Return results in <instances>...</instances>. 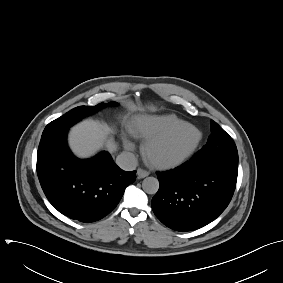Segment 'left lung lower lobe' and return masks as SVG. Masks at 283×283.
I'll return each mask as SVG.
<instances>
[{
    "instance_id": "obj_1",
    "label": "left lung lower lobe",
    "mask_w": 283,
    "mask_h": 283,
    "mask_svg": "<svg viewBox=\"0 0 283 283\" xmlns=\"http://www.w3.org/2000/svg\"><path fill=\"white\" fill-rule=\"evenodd\" d=\"M238 165L194 161L158 172V192L152 199L157 218L176 231L199 229L215 220L228 206L237 181Z\"/></svg>"
}]
</instances>
